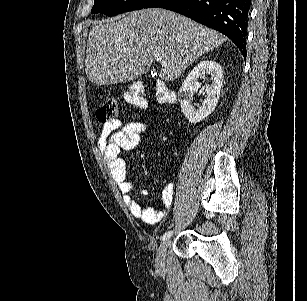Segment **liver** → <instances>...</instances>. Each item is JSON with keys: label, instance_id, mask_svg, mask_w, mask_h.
<instances>
[{"label": "liver", "instance_id": "liver-1", "mask_svg": "<svg viewBox=\"0 0 307 301\" xmlns=\"http://www.w3.org/2000/svg\"><path fill=\"white\" fill-rule=\"evenodd\" d=\"M227 36L166 8H142L98 20L87 42L85 70L94 84H117L139 78L155 54L168 66L158 76L175 80L202 54L226 42Z\"/></svg>", "mask_w": 307, "mask_h": 301}]
</instances>
